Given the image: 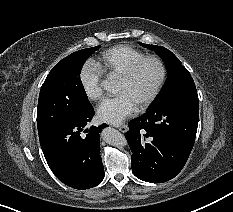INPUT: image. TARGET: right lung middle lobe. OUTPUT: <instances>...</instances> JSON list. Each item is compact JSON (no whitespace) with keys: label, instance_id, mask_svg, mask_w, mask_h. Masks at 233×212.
<instances>
[{"label":"right lung middle lobe","instance_id":"1","mask_svg":"<svg viewBox=\"0 0 233 212\" xmlns=\"http://www.w3.org/2000/svg\"><path fill=\"white\" fill-rule=\"evenodd\" d=\"M99 47L74 52L50 71L39 94L37 108L39 135L92 109L80 79V72L87 58Z\"/></svg>","mask_w":233,"mask_h":212}]
</instances>
